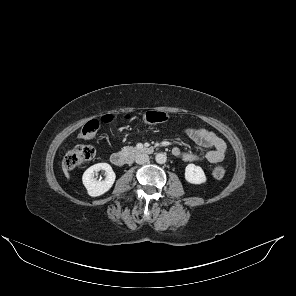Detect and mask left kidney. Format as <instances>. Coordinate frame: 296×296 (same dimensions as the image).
<instances>
[{"label":"left kidney","mask_w":296,"mask_h":296,"mask_svg":"<svg viewBox=\"0 0 296 296\" xmlns=\"http://www.w3.org/2000/svg\"><path fill=\"white\" fill-rule=\"evenodd\" d=\"M185 179L191 184H202L206 182L203 169L195 164H188L185 168Z\"/></svg>","instance_id":"left-kidney-1"}]
</instances>
